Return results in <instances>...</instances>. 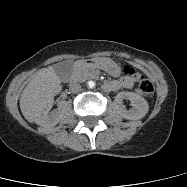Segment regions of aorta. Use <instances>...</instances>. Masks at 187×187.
I'll return each mask as SVG.
<instances>
[{"mask_svg": "<svg viewBox=\"0 0 187 187\" xmlns=\"http://www.w3.org/2000/svg\"><path fill=\"white\" fill-rule=\"evenodd\" d=\"M88 86H89V88H94L95 87V83L93 81H90L88 83Z\"/></svg>", "mask_w": 187, "mask_h": 187, "instance_id": "1", "label": "aorta"}]
</instances>
